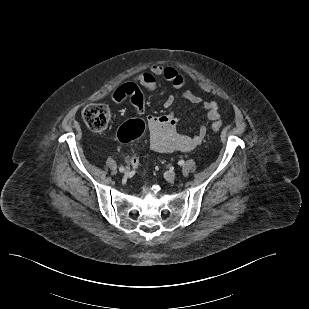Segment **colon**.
Returning a JSON list of instances; mask_svg holds the SVG:
<instances>
[{"mask_svg": "<svg viewBox=\"0 0 309 309\" xmlns=\"http://www.w3.org/2000/svg\"><path fill=\"white\" fill-rule=\"evenodd\" d=\"M111 111L104 104H90L82 111V118L86 125L94 132H103L110 121ZM222 127L221 122H215L212 125L214 131H218ZM145 131V123L141 119H132L122 125L119 130L118 137L123 143H129L140 138ZM138 157L136 154L131 156V164L138 166Z\"/></svg>", "mask_w": 309, "mask_h": 309, "instance_id": "obj_1", "label": "colon"}]
</instances>
